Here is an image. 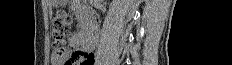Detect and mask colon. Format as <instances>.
<instances>
[{
    "label": "colon",
    "instance_id": "colon-1",
    "mask_svg": "<svg viewBox=\"0 0 232 65\" xmlns=\"http://www.w3.org/2000/svg\"><path fill=\"white\" fill-rule=\"evenodd\" d=\"M72 17L60 11L53 20L52 36L55 45V60L61 65H93L92 53L65 47V38L71 28Z\"/></svg>",
    "mask_w": 232,
    "mask_h": 65
}]
</instances>
